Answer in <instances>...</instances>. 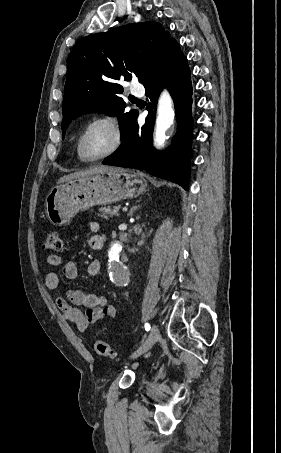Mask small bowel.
Segmentation results:
<instances>
[{"label":"small bowel","mask_w":281,"mask_h":453,"mask_svg":"<svg viewBox=\"0 0 281 453\" xmlns=\"http://www.w3.org/2000/svg\"><path fill=\"white\" fill-rule=\"evenodd\" d=\"M89 231L97 234L101 231V225L97 222L89 224ZM103 239L95 236L90 240V246L95 252H100L103 249ZM47 263L51 267L62 265L63 276L66 279H77L79 269L73 260L62 262L58 255H49ZM101 263L99 261H90L86 266V274L88 276H98L101 272ZM46 286L49 289L58 291L61 289L60 276L57 271H48L45 274ZM64 297L55 299L56 307L63 313L65 318L73 323L80 331H85L89 325L103 319L105 317L115 318V307L108 305L105 298L86 293L78 289H66ZM81 307L82 309L78 308Z\"/></svg>","instance_id":"1"}]
</instances>
